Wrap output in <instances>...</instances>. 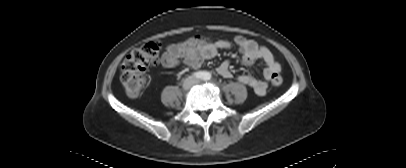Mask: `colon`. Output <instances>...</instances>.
I'll list each match as a JSON object with an SVG mask.
<instances>
[{
	"label": "colon",
	"mask_w": 406,
	"mask_h": 168,
	"mask_svg": "<svg viewBox=\"0 0 406 168\" xmlns=\"http://www.w3.org/2000/svg\"><path fill=\"white\" fill-rule=\"evenodd\" d=\"M161 43L149 41L131 52L123 61L120 71V81L130 97H138L148 85L147 70L159 63ZM283 79L279 73H274L271 83L280 86Z\"/></svg>",
	"instance_id": "obj_1"
}]
</instances>
